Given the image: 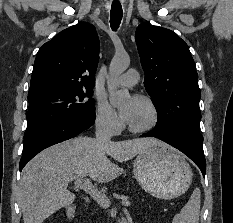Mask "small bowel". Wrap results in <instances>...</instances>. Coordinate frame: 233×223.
I'll return each mask as SVG.
<instances>
[{"mask_svg":"<svg viewBox=\"0 0 233 223\" xmlns=\"http://www.w3.org/2000/svg\"><path fill=\"white\" fill-rule=\"evenodd\" d=\"M122 223H128V221L127 220H123Z\"/></svg>","mask_w":233,"mask_h":223,"instance_id":"c3829d8e","label":"small bowel"}]
</instances>
